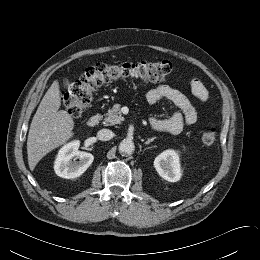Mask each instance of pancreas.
I'll return each mask as SVG.
<instances>
[{"instance_id": "1", "label": "pancreas", "mask_w": 260, "mask_h": 260, "mask_svg": "<svg viewBox=\"0 0 260 260\" xmlns=\"http://www.w3.org/2000/svg\"><path fill=\"white\" fill-rule=\"evenodd\" d=\"M123 121L121 105L115 104L108 112L105 114L104 124L106 126L120 124Z\"/></svg>"}]
</instances>
